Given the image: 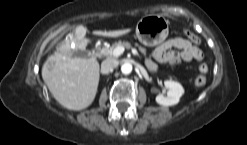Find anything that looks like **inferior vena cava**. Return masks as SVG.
Masks as SVG:
<instances>
[{
    "instance_id": "inferior-vena-cava-1",
    "label": "inferior vena cava",
    "mask_w": 247,
    "mask_h": 145,
    "mask_svg": "<svg viewBox=\"0 0 247 145\" xmlns=\"http://www.w3.org/2000/svg\"><path fill=\"white\" fill-rule=\"evenodd\" d=\"M118 66V61L115 59H106L101 64V72L103 74H108L111 72L114 68Z\"/></svg>"
}]
</instances>
